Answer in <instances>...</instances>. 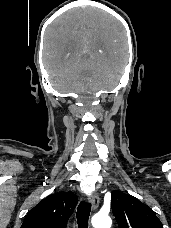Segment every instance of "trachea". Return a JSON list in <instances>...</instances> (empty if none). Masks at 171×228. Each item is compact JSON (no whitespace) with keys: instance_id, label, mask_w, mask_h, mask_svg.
<instances>
[{"instance_id":"obj_1","label":"trachea","mask_w":171,"mask_h":228,"mask_svg":"<svg viewBox=\"0 0 171 228\" xmlns=\"http://www.w3.org/2000/svg\"><path fill=\"white\" fill-rule=\"evenodd\" d=\"M90 212L91 204L80 202L76 213L78 228H88Z\"/></svg>"}]
</instances>
